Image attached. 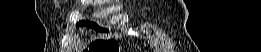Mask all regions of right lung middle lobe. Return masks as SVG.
Instances as JSON below:
<instances>
[{
  "mask_svg": "<svg viewBox=\"0 0 261 52\" xmlns=\"http://www.w3.org/2000/svg\"><path fill=\"white\" fill-rule=\"evenodd\" d=\"M77 25L88 26V27L94 28L96 30H101V31H108V30H106L104 28H100L97 24H95L93 22H89V21H81Z\"/></svg>",
  "mask_w": 261,
  "mask_h": 52,
  "instance_id": "1",
  "label": "right lung middle lobe"
}]
</instances>
